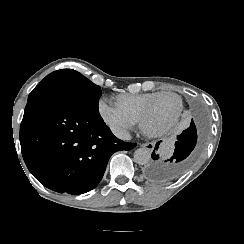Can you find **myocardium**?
<instances>
[{"instance_id":"obj_1","label":"myocardium","mask_w":244,"mask_h":244,"mask_svg":"<svg viewBox=\"0 0 244 244\" xmlns=\"http://www.w3.org/2000/svg\"><path fill=\"white\" fill-rule=\"evenodd\" d=\"M164 95H171V96H174L177 100H178V106L176 108V110L170 115V117L166 120L163 119L162 116H159L155 113L154 116H149L146 118V120L143 118L144 117V113L146 112L145 110L147 109L149 112L152 110V106L153 104L156 102L155 100L157 99H160L162 96ZM153 99L151 101H149L146 106H144L142 109V113L140 114V120L143 122L144 120L146 121L147 124H150L152 123L154 120H158L160 121L161 124L163 125H170L172 124V122L175 120L176 116L180 113L181 109H182V106H183V101H182V98L180 95H178L177 93L175 92H172V91H166V92H163V93H160V94H157V95H154L152 97Z\"/></svg>"}]
</instances>
